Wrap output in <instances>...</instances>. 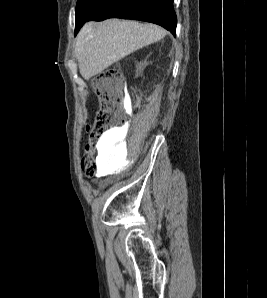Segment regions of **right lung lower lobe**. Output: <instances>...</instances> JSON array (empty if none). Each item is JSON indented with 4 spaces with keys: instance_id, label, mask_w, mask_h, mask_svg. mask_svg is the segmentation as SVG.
<instances>
[{
    "instance_id": "1",
    "label": "right lung lower lobe",
    "mask_w": 267,
    "mask_h": 298,
    "mask_svg": "<svg viewBox=\"0 0 267 298\" xmlns=\"http://www.w3.org/2000/svg\"><path fill=\"white\" fill-rule=\"evenodd\" d=\"M108 18L136 19L163 26L174 36L177 17L173 0H103L86 21ZM75 27V35L86 22Z\"/></svg>"
}]
</instances>
